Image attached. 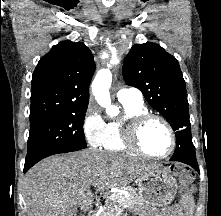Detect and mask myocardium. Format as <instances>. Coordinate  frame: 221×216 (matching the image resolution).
<instances>
[{
  "instance_id": "1",
  "label": "myocardium",
  "mask_w": 221,
  "mask_h": 216,
  "mask_svg": "<svg viewBox=\"0 0 221 216\" xmlns=\"http://www.w3.org/2000/svg\"><path fill=\"white\" fill-rule=\"evenodd\" d=\"M150 121H159L161 122L167 129L169 135H170V148L169 150L161 155L153 154L148 152L141 142V134L144 129V127L150 122ZM123 137L126 145L129 147V149L149 158L153 159H164L169 157L176 148V134L172 127V125L169 123L167 119L164 117L153 114V113H144L141 115H138L128 122L125 123L123 127Z\"/></svg>"
}]
</instances>
